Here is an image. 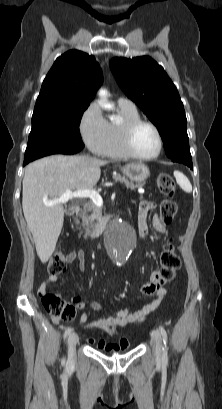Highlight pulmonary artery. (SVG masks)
Here are the masks:
<instances>
[{
    "label": "pulmonary artery",
    "instance_id": "pulmonary-artery-1",
    "mask_svg": "<svg viewBox=\"0 0 222 409\" xmlns=\"http://www.w3.org/2000/svg\"><path fill=\"white\" fill-rule=\"evenodd\" d=\"M117 102L119 105H122V106L135 107L134 103L131 100L124 98V97L118 98Z\"/></svg>",
    "mask_w": 222,
    "mask_h": 409
}]
</instances>
